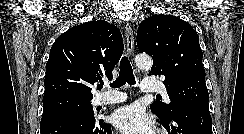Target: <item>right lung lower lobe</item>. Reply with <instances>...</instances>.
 I'll return each mask as SVG.
<instances>
[{"instance_id": "right-lung-lower-lobe-1", "label": "right lung lower lobe", "mask_w": 244, "mask_h": 134, "mask_svg": "<svg viewBox=\"0 0 244 134\" xmlns=\"http://www.w3.org/2000/svg\"><path fill=\"white\" fill-rule=\"evenodd\" d=\"M41 134H112L111 128L102 119L69 114L54 117L42 126Z\"/></svg>"}]
</instances>
